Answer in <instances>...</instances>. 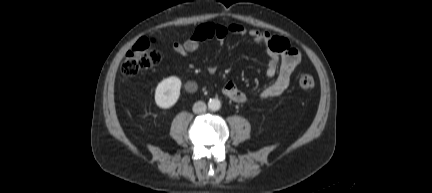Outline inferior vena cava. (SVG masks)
<instances>
[{
	"instance_id": "obj_1",
	"label": "inferior vena cava",
	"mask_w": 432,
	"mask_h": 193,
	"mask_svg": "<svg viewBox=\"0 0 432 193\" xmlns=\"http://www.w3.org/2000/svg\"><path fill=\"white\" fill-rule=\"evenodd\" d=\"M207 106L203 101H198L193 105V112L195 114H202L206 111Z\"/></svg>"
}]
</instances>
